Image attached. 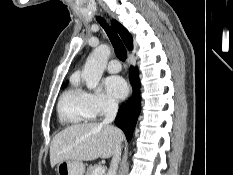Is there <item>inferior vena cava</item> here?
Masks as SVG:
<instances>
[{"mask_svg":"<svg viewBox=\"0 0 233 175\" xmlns=\"http://www.w3.org/2000/svg\"><path fill=\"white\" fill-rule=\"evenodd\" d=\"M117 110H118L117 102L114 99H108L107 106H106V115H105V118L102 124H109L113 122L116 117ZM120 158H121V147L117 145L115 147L112 161H111L110 168L108 170L107 175H117L116 173H117V168H118V163L120 161Z\"/></svg>","mask_w":233,"mask_h":175,"instance_id":"obj_1","label":"inferior vena cava"}]
</instances>
